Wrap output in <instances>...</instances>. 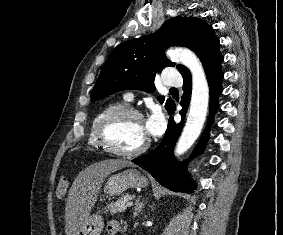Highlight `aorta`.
<instances>
[{"mask_svg":"<svg viewBox=\"0 0 283 235\" xmlns=\"http://www.w3.org/2000/svg\"><path fill=\"white\" fill-rule=\"evenodd\" d=\"M173 61L186 66L192 75V95L186 124L175 147V155L184 154L199 137L206 119L209 103V87L204 69L197 56L185 48L168 52Z\"/></svg>","mask_w":283,"mask_h":235,"instance_id":"aorta-1","label":"aorta"}]
</instances>
